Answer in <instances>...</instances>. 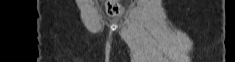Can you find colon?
I'll return each instance as SVG.
<instances>
[{"label": "colon", "instance_id": "5ec220e1", "mask_svg": "<svg viewBox=\"0 0 235 62\" xmlns=\"http://www.w3.org/2000/svg\"><path fill=\"white\" fill-rule=\"evenodd\" d=\"M123 10V6L119 0L106 1V11L110 16H120L123 13Z\"/></svg>", "mask_w": 235, "mask_h": 62}]
</instances>
